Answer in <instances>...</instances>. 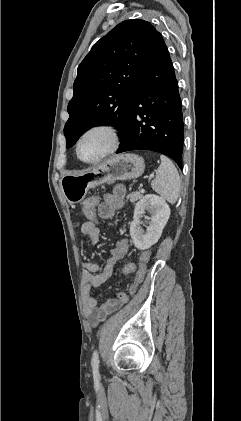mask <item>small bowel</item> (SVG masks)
<instances>
[{
  "mask_svg": "<svg viewBox=\"0 0 241 421\" xmlns=\"http://www.w3.org/2000/svg\"><path fill=\"white\" fill-rule=\"evenodd\" d=\"M125 194V187L123 185H116L111 193L104 195L103 202L98 206V217L102 219L111 218L122 207ZM81 232L83 235L89 237L93 245L98 243L100 230L94 222L85 221L81 226ZM128 251V241L126 239H120L111 249L110 256L104 265L100 266L96 263L84 264L81 297L85 317L90 326H96L128 301V296L125 293H118L116 297L109 298L103 304L98 305L97 299L91 294L92 288L102 286L111 277L116 263L124 258Z\"/></svg>",
  "mask_w": 241,
  "mask_h": 421,
  "instance_id": "obj_1",
  "label": "small bowel"
}]
</instances>
